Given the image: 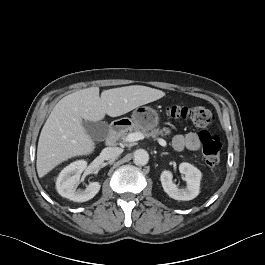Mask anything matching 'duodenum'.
<instances>
[{"mask_svg": "<svg viewBox=\"0 0 265 265\" xmlns=\"http://www.w3.org/2000/svg\"><path fill=\"white\" fill-rule=\"evenodd\" d=\"M127 124L128 123L124 121L114 122L110 126V131L105 141L106 145L112 146L116 142V140L119 138V136L121 135V133L123 132Z\"/></svg>", "mask_w": 265, "mask_h": 265, "instance_id": "410a0bca", "label": "duodenum"}]
</instances>
